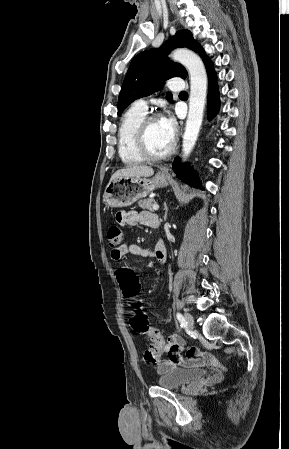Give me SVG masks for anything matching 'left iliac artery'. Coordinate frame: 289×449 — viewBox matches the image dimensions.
Returning <instances> with one entry per match:
<instances>
[{
	"mask_svg": "<svg viewBox=\"0 0 289 449\" xmlns=\"http://www.w3.org/2000/svg\"><path fill=\"white\" fill-rule=\"evenodd\" d=\"M176 317H177L181 327H185L187 325V322L181 313H177Z\"/></svg>",
	"mask_w": 289,
	"mask_h": 449,
	"instance_id": "1",
	"label": "left iliac artery"
}]
</instances>
